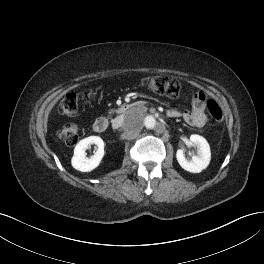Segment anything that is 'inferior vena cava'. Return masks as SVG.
<instances>
[{
  "instance_id": "602c4592",
  "label": "inferior vena cava",
  "mask_w": 264,
  "mask_h": 264,
  "mask_svg": "<svg viewBox=\"0 0 264 264\" xmlns=\"http://www.w3.org/2000/svg\"><path fill=\"white\" fill-rule=\"evenodd\" d=\"M123 122L124 121H123V119H121V117L117 118V119L113 120L112 126H113V128H118L122 125Z\"/></svg>"
}]
</instances>
